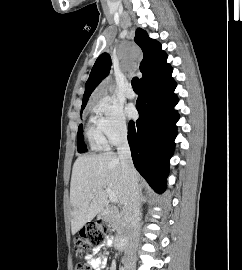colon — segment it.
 Masks as SVG:
<instances>
[{
    "instance_id": "obj_1",
    "label": "colon",
    "mask_w": 242,
    "mask_h": 270,
    "mask_svg": "<svg viewBox=\"0 0 242 270\" xmlns=\"http://www.w3.org/2000/svg\"><path fill=\"white\" fill-rule=\"evenodd\" d=\"M109 231V225L102 221L84 227L79 238L75 241L76 250L82 253L99 245ZM75 270H92V268L88 263L80 262L76 265Z\"/></svg>"
}]
</instances>
